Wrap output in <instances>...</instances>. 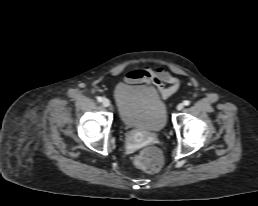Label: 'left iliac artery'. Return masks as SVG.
<instances>
[{
    "instance_id": "44dca946",
    "label": "left iliac artery",
    "mask_w": 258,
    "mask_h": 206,
    "mask_svg": "<svg viewBox=\"0 0 258 206\" xmlns=\"http://www.w3.org/2000/svg\"><path fill=\"white\" fill-rule=\"evenodd\" d=\"M183 103H184L185 106H188L190 104V101L185 100Z\"/></svg>"
}]
</instances>
